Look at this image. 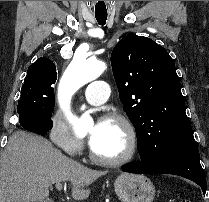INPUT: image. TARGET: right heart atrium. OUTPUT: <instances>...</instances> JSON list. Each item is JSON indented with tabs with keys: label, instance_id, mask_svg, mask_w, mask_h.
Returning <instances> with one entry per match:
<instances>
[{
	"label": "right heart atrium",
	"instance_id": "obj_1",
	"mask_svg": "<svg viewBox=\"0 0 209 202\" xmlns=\"http://www.w3.org/2000/svg\"><path fill=\"white\" fill-rule=\"evenodd\" d=\"M50 139L65 153L70 156H77L84 147V140L79 137L71 127L57 117H53L50 122L49 130ZM68 164L74 166L73 161Z\"/></svg>",
	"mask_w": 209,
	"mask_h": 202
}]
</instances>
